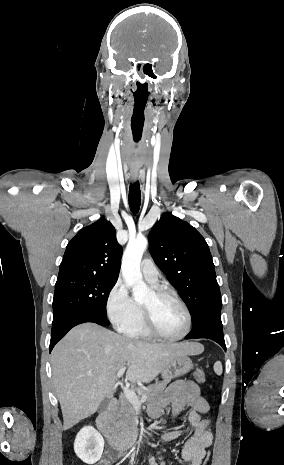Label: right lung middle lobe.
Listing matches in <instances>:
<instances>
[{"instance_id":"dd1d6c3e","label":"right lung middle lobe","mask_w":284,"mask_h":465,"mask_svg":"<svg viewBox=\"0 0 284 465\" xmlns=\"http://www.w3.org/2000/svg\"><path fill=\"white\" fill-rule=\"evenodd\" d=\"M117 279L90 276L57 278L53 298V321L72 312L86 311L106 316V303Z\"/></svg>"}]
</instances>
